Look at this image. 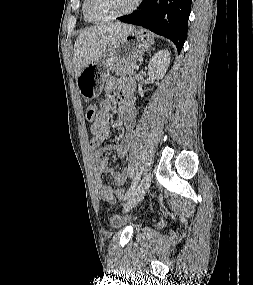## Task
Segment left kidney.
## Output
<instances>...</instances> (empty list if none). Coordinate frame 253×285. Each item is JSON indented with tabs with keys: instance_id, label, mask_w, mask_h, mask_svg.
I'll return each mask as SVG.
<instances>
[{
	"instance_id": "left-kidney-1",
	"label": "left kidney",
	"mask_w": 253,
	"mask_h": 285,
	"mask_svg": "<svg viewBox=\"0 0 253 285\" xmlns=\"http://www.w3.org/2000/svg\"><path fill=\"white\" fill-rule=\"evenodd\" d=\"M170 64V52L160 50L150 59L148 64V75L154 79H162Z\"/></svg>"
}]
</instances>
